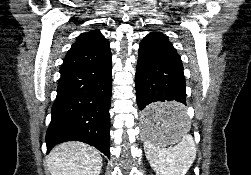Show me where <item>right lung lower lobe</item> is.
I'll use <instances>...</instances> for the list:
<instances>
[{
  "instance_id": "obj_1",
  "label": "right lung lower lobe",
  "mask_w": 251,
  "mask_h": 175,
  "mask_svg": "<svg viewBox=\"0 0 251 175\" xmlns=\"http://www.w3.org/2000/svg\"><path fill=\"white\" fill-rule=\"evenodd\" d=\"M57 97L46 134L47 152L65 141H81L110 157L111 55L106 60L60 70Z\"/></svg>"
}]
</instances>
